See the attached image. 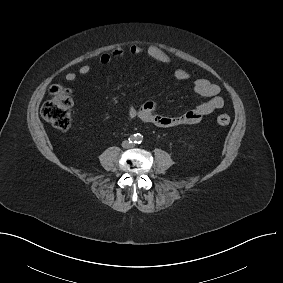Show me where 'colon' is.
Returning <instances> with one entry per match:
<instances>
[{"label": "colon", "mask_w": 283, "mask_h": 283, "mask_svg": "<svg viewBox=\"0 0 283 283\" xmlns=\"http://www.w3.org/2000/svg\"><path fill=\"white\" fill-rule=\"evenodd\" d=\"M72 106L71 90L62 84H56L50 89V99L43 104L41 114L55 129L64 132L71 125ZM230 121L227 114L217 117V123L221 126H227Z\"/></svg>", "instance_id": "obj_1"}]
</instances>
